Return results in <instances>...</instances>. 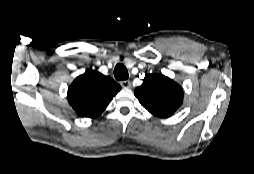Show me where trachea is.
<instances>
[{"label":"trachea","instance_id":"1","mask_svg":"<svg viewBox=\"0 0 254 174\" xmlns=\"http://www.w3.org/2000/svg\"><path fill=\"white\" fill-rule=\"evenodd\" d=\"M114 76L117 80H126L128 78V71L126 67L119 63L115 66Z\"/></svg>","mask_w":254,"mask_h":174}]
</instances>
